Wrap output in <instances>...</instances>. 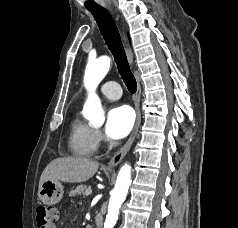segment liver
<instances>
[{"instance_id": "1", "label": "liver", "mask_w": 238, "mask_h": 228, "mask_svg": "<svg viewBox=\"0 0 238 228\" xmlns=\"http://www.w3.org/2000/svg\"><path fill=\"white\" fill-rule=\"evenodd\" d=\"M99 163L85 157H62L51 161L41 174L39 187L47 180L81 183L97 172Z\"/></svg>"}]
</instances>
